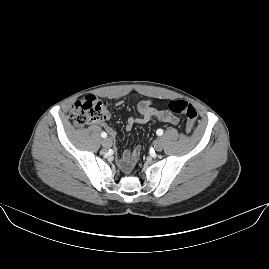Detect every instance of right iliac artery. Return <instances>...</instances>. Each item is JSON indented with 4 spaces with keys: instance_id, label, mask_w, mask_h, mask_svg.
<instances>
[{
    "instance_id": "right-iliac-artery-1",
    "label": "right iliac artery",
    "mask_w": 269,
    "mask_h": 269,
    "mask_svg": "<svg viewBox=\"0 0 269 269\" xmlns=\"http://www.w3.org/2000/svg\"><path fill=\"white\" fill-rule=\"evenodd\" d=\"M101 136H102L103 138H106V137H107V133H106V132H102V133H101Z\"/></svg>"
}]
</instances>
